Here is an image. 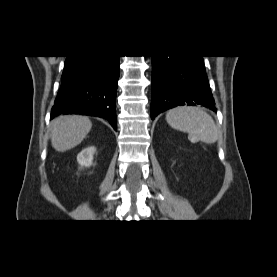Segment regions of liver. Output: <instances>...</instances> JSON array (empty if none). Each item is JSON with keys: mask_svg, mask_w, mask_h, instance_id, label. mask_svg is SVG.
Wrapping results in <instances>:
<instances>
[{"mask_svg": "<svg viewBox=\"0 0 277 277\" xmlns=\"http://www.w3.org/2000/svg\"><path fill=\"white\" fill-rule=\"evenodd\" d=\"M92 128L88 117L65 115L51 123V144L58 152L70 150L79 145Z\"/></svg>", "mask_w": 277, "mask_h": 277, "instance_id": "6515ba94", "label": "liver"}]
</instances>
